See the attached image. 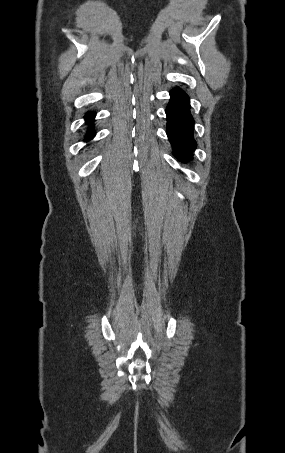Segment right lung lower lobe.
Instances as JSON below:
<instances>
[{
    "label": "right lung lower lobe",
    "mask_w": 285,
    "mask_h": 453,
    "mask_svg": "<svg viewBox=\"0 0 285 453\" xmlns=\"http://www.w3.org/2000/svg\"><path fill=\"white\" fill-rule=\"evenodd\" d=\"M95 117V113L93 112H87V114L85 115V119L87 121V123H92L93 119ZM95 135V131L93 130V128H89L88 132H87V135L85 137V140L88 141L90 139H92Z\"/></svg>",
    "instance_id": "98d812e1"
}]
</instances>
